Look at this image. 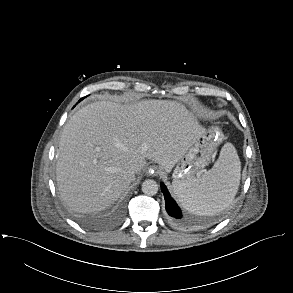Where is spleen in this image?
I'll return each mask as SVG.
<instances>
[{
	"instance_id": "spleen-1",
	"label": "spleen",
	"mask_w": 293,
	"mask_h": 293,
	"mask_svg": "<svg viewBox=\"0 0 293 293\" xmlns=\"http://www.w3.org/2000/svg\"><path fill=\"white\" fill-rule=\"evenodd\" d=\"M241 164L235 147L226 143L211 170L174 188L180 204L197 215H213L231 205L240 183Z\"/></svg>"
}]
</instances>
